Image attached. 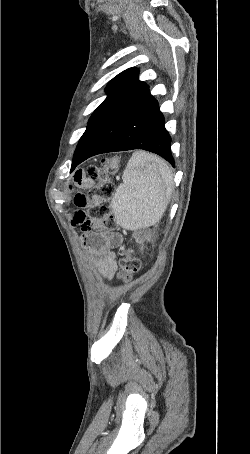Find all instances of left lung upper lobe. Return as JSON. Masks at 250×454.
Segmentation results:
<instances>
[{
  "instance_id": "left-lung-upper-lobe-1",
  "label": "left lung upper lobe",
  "mask_w": 250,
  "mask_h": 454,
  "mask_svg": "<svg viewBox=\"0 0 250 454\" xmlns=\"http://www.w3.org/2000/svg\"><path fill=\"white\" fill-rule=\"evenodd\" d=\"M138 70L129 68L118 74L106 88L107 98L92 114L86 131L80 138L74 157L81 155L101 124L118 108L147 85L138 79Z\"/></svg>"
}]
</instances>
